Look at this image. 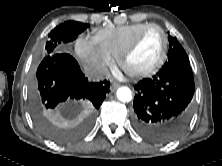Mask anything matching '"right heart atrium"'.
Returning <instances> with one entry per match:
<instances>
[{"label": "right heart atrium", "instance_id": "obj_1", "mask_svg": "<svg viewBox=\"0 0 222 166\" xmlns=\"http://www.w3.org/2000/svg\"><path fill=\"white\" fill-rule=\"evenodd\" d=\"M76 51L88 71L95 75H103L112 64V57L106 54L90 37H79Z\"/></svg>", "mask_w": 222, "mask_h": 166}]
</instances>
